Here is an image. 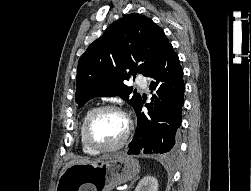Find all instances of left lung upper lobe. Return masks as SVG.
Masks as SVG:
<instances>
[{"instance_id": "5c2ea615", "label": "left lung upper lobe", "mask_w": 251, "mask_h": 191, "mask_svg": "<svg viewBox=\"0 0 251 191\" xmlns=\"http://www.w3.org/2000/svg\"><path fill=\"white\" fill-rule=\"evenodd\" d=\"M172 49L163 30L150 18L132 13L117 20L81 56L76 76L79 107L90 98L119 96L136 110L142 98L126 85L136 73L151 77Z\"/></svg>"}]
</instances>
